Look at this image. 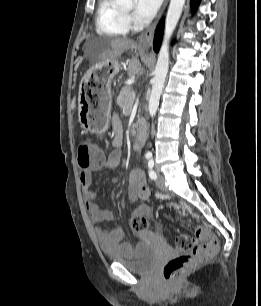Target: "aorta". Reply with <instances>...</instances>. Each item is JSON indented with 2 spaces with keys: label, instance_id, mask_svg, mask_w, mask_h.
I'll list each match as a JSON object with an SVG mask.
<instances>
[{
  "label": "aorta",
  "instance_id": "762f6f07",
  "mask_svg": "<svg viewBox=\"0 0 261 306\" xmlns=\"http://www.w3.org/2000/svg\"><path fill=\"white\" fill-rule=\"evenodd\" d=\"M118 5L132 6V0H115ZM185 0H171L166 21L164 40L160 48L157 64L155 68V76L153 79L152 91L149 99V114L154 117L159 105L160 96L164 87L165 79L169 67V40L180 19Z\"/></svg>",
  "mask_w": 261,
  "mask_h": 306
}]
</instances>
